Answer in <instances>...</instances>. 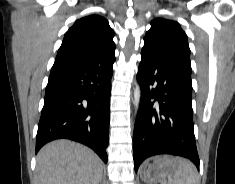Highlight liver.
Here are the masks:
<instances>
[{
  "mask_svg": "<svg viewBox=\"0 0 235 184\" xmlns=\"http://www.w3.org/2000/svg\"><path fill=\"white\" fill-rule=\"evenodd\" d=\"M36 172L37 184H99L103 162L82 144L55 140L38 152Z\"/></svg>",
  "mask_w": 235,
  "mask_h": 184,
  "instance_id": "obj_1",
  "label": "liver"
}]
</instances>
